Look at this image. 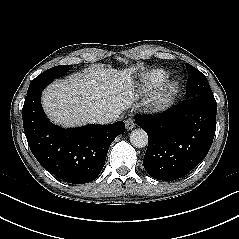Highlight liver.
Returning a JSON list of instances; mask_svg holds the SVG:
<instances>
[{
	"label": "liver",
	"instance_id": "obj_1",
	"mask_svg": "<svg viewBox=\"0 0 239 239\" xmlns=\"http://www.w3.org/2000/svg\"><path fill=\"white\" fill-rule=\"evenodd\" d=\"M133 69H104L97 66L50 84L42 94L44 111L63 127L96 123L99 113L116 118L136 100Z\"/></svg>",
	"mask_w": 239,
	"mask_h": 239
}]
</instances>
